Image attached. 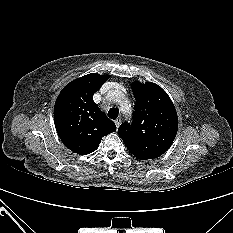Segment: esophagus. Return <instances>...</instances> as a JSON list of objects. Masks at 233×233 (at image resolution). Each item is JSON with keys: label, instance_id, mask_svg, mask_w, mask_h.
Wrapping results in <instances>:
<instances>
[{"label": "esophagus", "instance_id": "esophagus-1", "mask_svg": "<svg viewBox=\"0 0 233 233\" xmlns=\"http://www.w3.org/2000/svg\"><path fill=\"white\" fill-rule=\"evenodd\" d=\"M115 124H116V127L119 128L120 124H121V119L120 118H117L115 120Z\"/></svg>", "mask_w": 233, "mask_h": 233}]
</instances>
